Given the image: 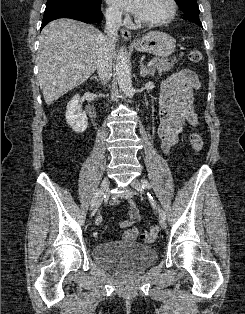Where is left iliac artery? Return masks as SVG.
I'll return each instance as SVG.
<instances>
[{
  "instance_id": "1",
  "label": "left iliac artery",
  "mask_w": 245,
  "mask_h": 314,
  "mask_svg": "<svg viewBox=\"0 0 245 314\" xmlns=\"http://www.w3.org/2000/svg\"><path fill=\"white\" fill-rule=\"evenodd\" d=\"M141 185H142V188L143 189H151L152 188V186H151V184L149 183V181L148 180H146V179H141ZM149 197H150V199H151V202L153 203V205L156 207V203H155V201L153 200V197L151 196V195H149ZM160 215L162 216V218L164 219V220H166V214H165V212L162 210V209H160Z\"/></svg>"
}]
</instances>
